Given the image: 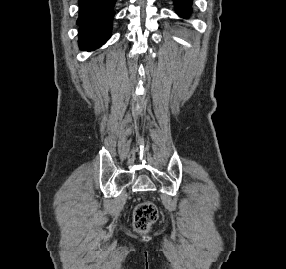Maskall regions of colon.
I'll return each instance as SVG.
<instances>
[{"label": "colon", "instance_id": "5ec220e1", "mask_svg": "<svg viewBox=\"0 0 286 269\" xmlns=\"http://www.w3.org/2000/svg\"><path fill=\"white\" fill-rule=\"evenodd\" d=\"M158 218L156 206L150 201L138 204L133 213L134 228L138 232H146Z\"/></svg>", "mask_w": 286, "mask_h": 269}]
</instances>
